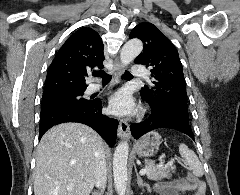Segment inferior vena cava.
Masks as SVG:
<instances>
[{
	"label": "inferior vena cava",
	"instance_id": "602c4592",
	"mask_svg": "<svg viewBox=\"0 0 240 195\" xmlns=\"http://www.w3.org/2000/svg\"><path fill=\"white\" fill-rule=\"evenodd\" d=\"M106 159L104 149H101L99 159L96 163V173H95V185L96 187H100V189H104L106 185L107 173H106Z\"/></svg>",
	"mask_w": 240,
	"mask_h": 195
}]
</instances>
